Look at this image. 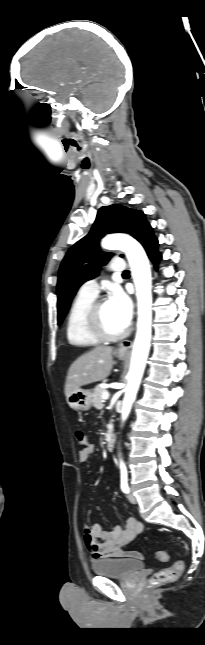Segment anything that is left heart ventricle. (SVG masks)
I'll return each instance as SVG.
<instances>
[{"label":"left heart ventricle","mask_w":205,"mask_h":645,"mask_svg":"<svg viewBox=\"0 0 205 645\" xmlns=\"http://www.w3.org/2000/svg\"><path fill=\"white\" fill-rule=\"evenodd\" d=\"M101 319L104 328L110 333H119L125 328L122 327L114 311L106 301L101 307Z\"/></svg>","instance_id":"obj_1"}]
</instances>
